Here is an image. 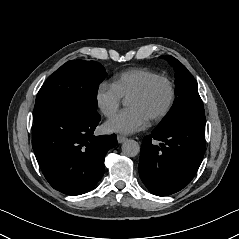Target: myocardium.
Segmentation results:
<instances>
[{"mask_svg":"<svg viewBox=\"0 0 239 239\" xmlns=\"http://www.w3.org/2000/svg\"><path fill=\"white\" fill-rule=\"evenodd\" d=\"M157 82H163L166 84L167 89H168V96H167V100H166L165 104L163 105V107L161 109H159L158 111H156L155 113H153L152 115H150L149 117H147L148 120L159 119V118L163 117L164 115H166L167 112L170 110L173 100H174V87H173L172 82L165 76L154 77V78L148 80L139 90H137L136 92H134L132 95H130L127 98V102H128V101H132V100L139 99V98L143 97L144 95L147 94V92L150 90V88Z\"/></svg>","mask_w":239,"mask_h":239,"instance_id":"obj_1","label":"myocardium"}]
</instances>
